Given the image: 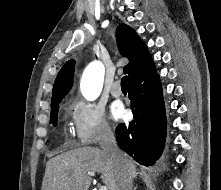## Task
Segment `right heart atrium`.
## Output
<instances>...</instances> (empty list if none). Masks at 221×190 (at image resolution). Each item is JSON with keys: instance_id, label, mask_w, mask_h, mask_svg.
Here are the masks:
<instances>
[{"instance_id": "right-heart-atrium-1", "label": "right heart atrium", "mask_w": 221, "mask_h": 190, "mask_svg": "<svg viewBox=\"0 0 221 190\" xmlns=\"http://www.w3.org/2000/svg\"><path fill=\"white\" fill-rule=\"evenodd\" d=\"M75 135L81 145H92L112 135L103 108L95 103L74 99L71 102Z\"/></svg>"}]
</instances>
